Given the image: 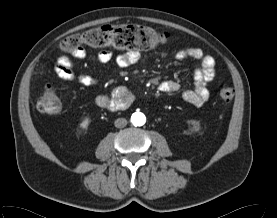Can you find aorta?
Here are the masks:
<instances>
[{
    "mask_svg": "<svg viewBox=\"0 0 277 218\" xmlns=\"http://www.w3.org/2000/svg\"><path fill=\"white\" fill-rule=\"evenodd\" d=\"M146 121V117L141 112H135L131 116V123L134 126H142Z\"/></svg>",
    "mask_w": 277,
    "mask_h": 218,
    "instance_id": "1",
    "label": "aorta"
}]
</instances>
